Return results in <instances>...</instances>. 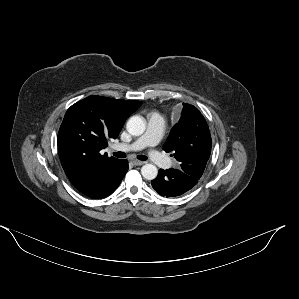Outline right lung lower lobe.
<instances>
[{
    "label": "right lung lower lobe",
    "instance_id": "right-lung-lower-lobe-1",
    "mask_svg": "<svg viewBox=\"0 0 299 299\" xmlns=\"http://www.w3.org/2000/svg\"><path fill=\"white\" fill-rule=\"evenodd\" d=\"M128 170L127 160H119L114 166L111 167L106 181L102 186L92 193H87L88 197L91 198H103L113 193L121 183L123 177Z\"/></svg>",
    "mask_w": 299,
    "mask_h": 299
}]
</instances>
